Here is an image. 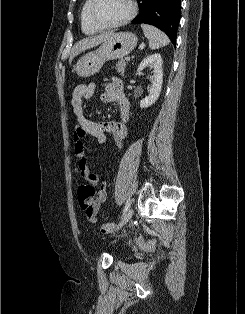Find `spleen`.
Wrapping results in <instances>:
<instances>
[{"label":"spleen","mask_w":245,"mask_h":314,"mask_svg":"<svg viewBox=\"0 0 245 314\" xmlns=\"http://www.w3.org/2000/svg\"><path fill=\"white\" fill-rule=\"evenodd\" d=\"M141 28L149 41L150 49L155 50L169 44L167 35L158 28L144 23L141 24Z\"/></svg>","instance_id":"obj_1"}]
</instances>
